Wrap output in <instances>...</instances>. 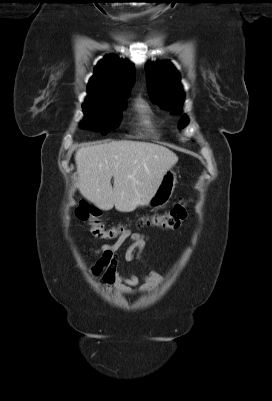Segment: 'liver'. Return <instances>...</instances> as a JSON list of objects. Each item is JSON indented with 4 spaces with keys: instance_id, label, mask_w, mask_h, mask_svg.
I'll return each mask as SVG.
<instances>
[{
    "instance_id": "obj_1",
    "label": "liver",
    "mask_w": 272,
    "mask_h": 401,
    "mask_svg": "<svg viewBox=\"0 0 272 401\" xmlns=\"http://www.w3.org/2000/svg\"><path fill=\"white\" fill-rule=\"evenodd\" d=\"M80 193L103 210L132 212L145 206L177 162L168 148L141 141H112L76 151ZM114 178V185L111 179Z\"/></svg>"
}]
</instances>
